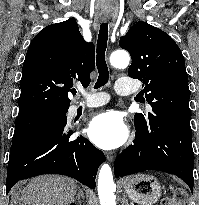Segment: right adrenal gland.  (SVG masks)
<instances>
[{"label":"right adrenal gland","mask_w":199,"mask_h":205,"mask_svg":"<svg viewBox=\"0 0 199 205\" xmlns=\"http://www.w3.org/2000/svg\"><path fill=\"white\" fill-rule=\"evenodd\" d=\"M81 198L82 199H84V193H83V191L79 188L78 189V194H77V196H76V199H75V203H76V201L81 205L82 203H81Z\"/></svg>","instance_id":"right-adrenal-gland-1"}]
</instances>
